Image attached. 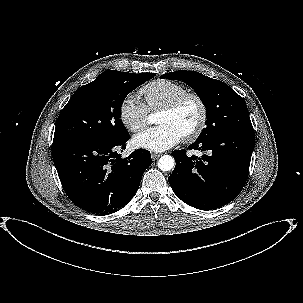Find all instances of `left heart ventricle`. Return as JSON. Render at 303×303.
I'll return each instance as SVG.
<instances>
[{
  "label": "left heart ventricle",
  "mask_w": 303,
  "mask_h": 303,
  "mask_svg": "<svg viewBox=\"0 0 303 303\" xmlns=\"http://www.w3.org/2000/svg\"><path fill=\"white\" fill-rule=\"evenodd\" d=\"M199 120V107L195 100L188 99L175 112H159L158 124H170L183 136L191 131Z\"/></svg>",
  "instance_id": "1"
}]
</instances>
